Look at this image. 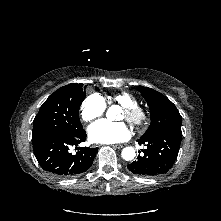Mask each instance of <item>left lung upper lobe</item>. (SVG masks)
<instances>
[{
    "instance_id": "1",
    "label": "left lung upper lobe",
    "mask_w": 221,
    "mask_h": 221,
    "mask_svg": "<svg viewBox=\"0 0 221 221\" xmlns=\"http://www.w3.org/2000/svg\"><path fill=\"white\" fill-rule=\"evenodd\" d=\"M136 88L147 101L151 114V124L142 137L160 130L181 131L182 117L167 97L148 87L136 86Z\"/></svg>"
}]
</instances>
